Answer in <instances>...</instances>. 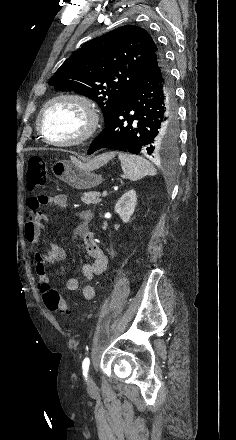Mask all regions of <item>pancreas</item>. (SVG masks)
Listing matches in <instances>:
<instances>
[{
	"instance_id": "obj_1",
	"label": "pancreas",
	"mask_w": 236,
	"mask_h": 440,
	"mask_svg": "<svg viewBox=\"0 0 236 440\" xmlns=\"http://www.w3.org/2000/svg\"><path fill=\"white\" fill-rule=\"evenodd\" d=\"M100 196L101 194L99 192H88V193H84L81 196V200L83 203H85L86 205H91V204H98L100 203Z\"/></svg>"
}]
</instances>
